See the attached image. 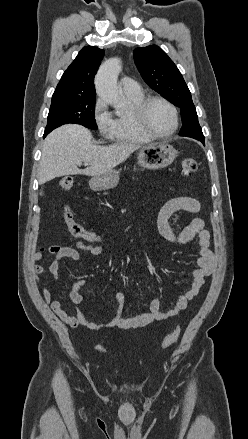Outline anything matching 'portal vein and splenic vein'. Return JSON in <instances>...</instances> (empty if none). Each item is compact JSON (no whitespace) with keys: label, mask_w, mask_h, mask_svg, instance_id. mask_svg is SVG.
Segmentation results:
<instances>
[{"label":"portal vein and splenic vein","mask_w":248,"mask_h":439,"mask_svg":"<svg viewBox=\"0 0 248 439\" xmlns=\"http://www.w3.org/2000/svg\"><path fill=\"white\" fill-rule=\"evenodd\" d=\"M78 165H81V163H78ZM85 165H87V164H85Z\"/></svg>","instance_id":"obj_1"}]
</instances>
